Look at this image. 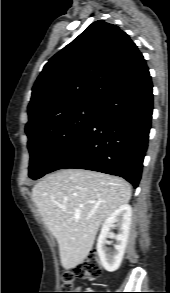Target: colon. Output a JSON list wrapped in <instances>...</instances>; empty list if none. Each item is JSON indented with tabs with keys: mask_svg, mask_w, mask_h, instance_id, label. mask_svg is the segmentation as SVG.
Wrapping results in <instances>:
<instances>
[{
	"mask_svg": "<svg viewBox=\"0 0 170 293\" xmlns=\"http://www.w3.org/2000/svg\"><path fill=\"white\" fill-rule=\"evenodd\" d=\"M99 255L97 251L89 253L84 261L77 265L72 271L62 274L61 281L66 290L75 289L74 280L77 278L92 279L99 273ZM67 293H86V292H67Z\"/></svg>",
	"mask_w": 170,
	"mask_h": 293,
	"instance_id": "5ec220e1",
	"label": "colon"
}]
</instances>
